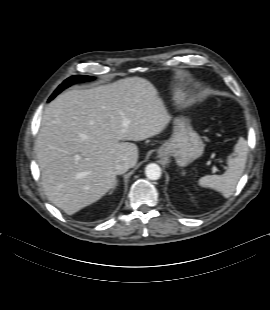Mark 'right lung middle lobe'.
<instances>
[{"label":"right lung middle lobe","mask_w":270,"mask_h":310,"mask_svg":"<svg viewBox=\"0 0 270 310\" xmlns=\"http://www.w3.org/2000/svg\"><path fill=\"white\" fill-rule=\"evenodd\" d=\"M93 78L90 76H72L70 78H68L67 80H65L56 90L55 92L52 94V96L50 97L49 100H52L57 94H59L63 89H65L66 87L70 86L72 83L74 82H83V81H87V80H92Z\"/></svg>","instance_id":"1"}]
</instances>
